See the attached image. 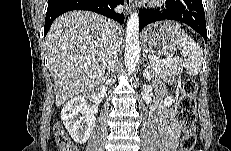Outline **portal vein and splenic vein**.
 <instances>
[{"instance_id": "portal-vein-and-splenic-vein-1", "label": "portal vein and splenic vein", "mask_w": 231, "mask_h": 151, "mask_svg": "<svg viewBox=\"0 0 231 151\" xmlns=\"http://www.w3.org/2000/svg\"><path fill=\"white\" fill-rule=\"evenodd\" d=\"M151 60L161 62V63H170L173 61V56L172 54L168 55L166 59H160L159 57L156 56H149Z\"/></svg>"}]
</instances>
